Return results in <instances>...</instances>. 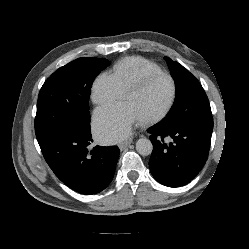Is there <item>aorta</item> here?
<instances>
[{"label":"aorta","instance_id":"1","mask_svg":"<svg viewBox=\"0 0 249 249\" xmlns=\"http://www.w3.org/2000/svg\"><path fill=\"white\" fill-rule=\"evenodd\" d=\"M136 150L142 156H148L152 153L153 145L147 138H140L136 142Z\"/></svg>","mask_w":249,"mask_h":249}]
</instances>
